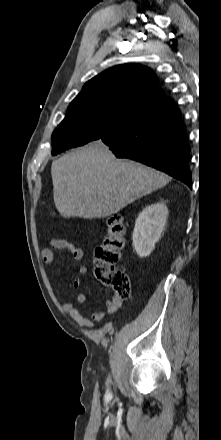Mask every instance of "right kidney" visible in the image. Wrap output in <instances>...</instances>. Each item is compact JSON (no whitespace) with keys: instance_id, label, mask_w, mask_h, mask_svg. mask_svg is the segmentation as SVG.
Returning a JSON list of instances; mask_svg holds the SVG:
<instances>
[{"instance_id":"right-kidney-1","label":"right kidney","mask_w":221,"mask_h":440,"mask_svg":"<svg viewBox=\"0 0 221 440\" xmlns=\"http://www.w3.org/2000/svg\"><path fill=\"white\" fill-rule=\"evenodd\" d=\"M168 215L163 203L146 207L138 216L133 231V247L141 258L150 255L155 243L160 239Z\"/></svg>"}]
</instances>
